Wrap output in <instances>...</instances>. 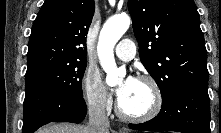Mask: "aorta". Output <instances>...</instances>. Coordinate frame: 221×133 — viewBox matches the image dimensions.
<instances>
[{
	"label": "aorta",
	"mask_w": 221,
	"mask_h": 133,
	"mask_svg": "<svg viewBox=\"0 0 221 133\" xmlns=\"http://www.w3.org/2000/svg\"><path fill=\"white\" fill-rule=\"evenodd\" d=\"M130 26V18L126 14L115 15L108 19L101 29L97 52L100 64L106 72V83L115 85L119 77L125 75L124 68H117L114 59V46Z\"/></svg>",
	"instance_id": "762f6f07"
}]
</instances>
